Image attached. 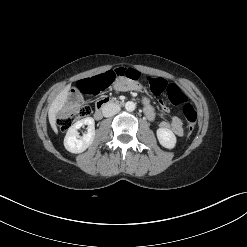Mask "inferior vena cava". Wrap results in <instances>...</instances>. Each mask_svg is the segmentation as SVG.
Instances as JSON below:
<instances>
[{"label": "inferior vena cava", "mask_w": 247, "mask_h": 247, "mask_svg": "<svg viewBox=\"0 0 247 247\" xmlns=\"http://www.w3.org/2000/svg\"><path fill=\"white\" fill-rule=\"evenodd\" d=\"M120 111L119 105L115 103H106L102 108V113L105 117H111Z\"/></svg>", "instance_id": "obj_1"}]
</instances>
